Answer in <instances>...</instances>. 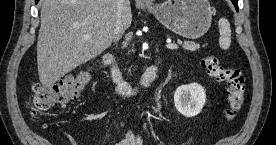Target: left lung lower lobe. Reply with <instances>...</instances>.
Listing matches in <instances>:
<instances>
[{
    "instance_id": "obj_1",
    "label": "left lung lower lobe",
    "mask_w": 276,
    "mask_h": 145,
    "mask_svg": "<svg viewBox=\"0 0 276 145\" xmlns=\"http://www.w3.org/2000/svg\"><path fill=\"white\" fill-rule=\"evenodd\" d=\"M231 1L234 4L236 10L238 11V0H231Z\"/></svg>"
}]
</instances>
